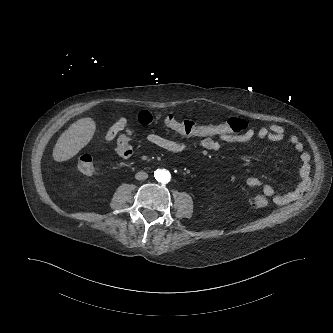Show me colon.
<instances>
[{"label":"colon","instance_id":"1","mask_svg":"<svg viewBox=\"0 0 333 333\" xmlns=\"http://www.w3.org/2000/svg\"><path fill=\"white\" fill-rule=\"evenodd\" d=\"M152 119L163 121L167 127L185 137L223 138L230 134L243 133L248 128V123L245 120L234 117L218 124H200L193 120H178L172 114L164 117L155 114ZM99 168V165L90 155H83L76 162L77 171L84 175L95 174L99 171ZM250 201L257 208H265L269 204L268 198L262 194L251 196Z\"/></svg>","mask_w":333,"mask_h":333}]
</instances>
